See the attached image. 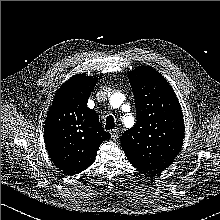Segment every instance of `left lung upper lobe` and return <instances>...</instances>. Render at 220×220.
<instances>
[{
  "mask_svg": "<svg viewBox=\"0 0 220 220\" xmlns=\"http://www.w3.org/2000/svg\"><path fill=\"white\" fill-rule=\"evenodd\" d=\"M137 122L121 138L129 162L142 174L155 176L178 155L184 120L178 98L155 69L141 66L128 72Z\"/></svg>",
  "mask_w": 220,
  "mask_h": 220,
  "instance_id": "left-lung-upper-lobe-1",
  "label": "left lung upper lobe"
}]
</instances>
